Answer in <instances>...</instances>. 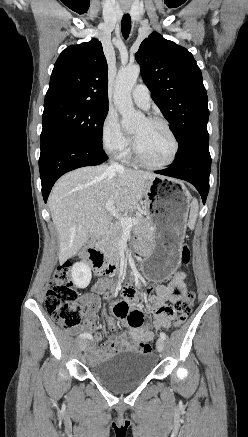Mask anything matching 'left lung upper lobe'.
Listing matches in <instances>:
<instances>
[{
    "label": "left lung upper lobe",
    "instance_id": "5c2ea615",
    "mask_svg": "<svg viewBox=\"0 0 248 437\" xmlns=\"http://www.w3.org/2000/svg\"><path fill=\"white\" fill-rule=\"evenodd\" d=\"M141 75L183 153L193 141L208 134V98L201 70L192 54L153 32L135 55Z\"/></svg>",
    "mask_w": 248,
    "mask_h": 437
}]
</instances>
